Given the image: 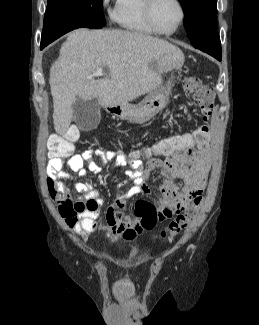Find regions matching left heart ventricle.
Returning a JSON list of instances; mask_svg holds the SVG:
<instances>
[{
  "instance_id": "1",
  "label": "left heart ventricle",
  "mask_w": 259,
  "mask_h": 325,
  "mask_svg": "<svg viewBox=\"0 0 259 325\" xmlns=\"http://www.w3.org/2000/svg\"><path fill=\"white\" fill-rule=\"evenodd\" d=\"M156 26L162 31H170L176 26L180 11L174 0H156L153 11Z\"/></svg>"
}]
</instances>
